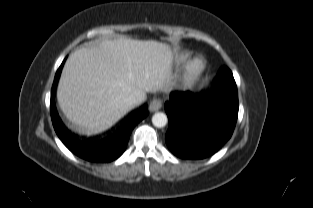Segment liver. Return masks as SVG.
<instances>
[{
	"instance_id": "6515ba94",
	"label": "liver",
	"mask_w": 313,
	"mask_h": 208,
	"mask_svg": "<svg viewBox=\"0 0 313 208\" xmlns=\"http://www.w3.org/2000/svg\"><path fill=\"white\" fill-rule=\"evenodd\" d=\"M173 52L154 40H104L72 53L57 91L59 108L71 128L83 134L102 132L126 112L128 92L145 101L147 92L166 91L172 79Z\"/></svg>"
}]
</instances>
